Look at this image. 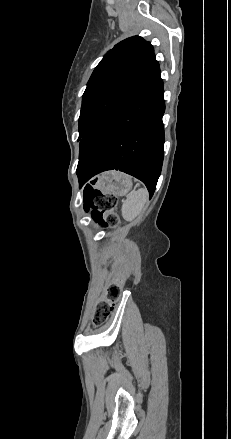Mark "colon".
Here are the masks:
<instances>
[{
  "mask_svg": "<svg viewBox=\"0 0 231 439\" xmlns=\"http://www.w3.org/2000/svg\"><path fill=\"white\" fill-rule=\"evenodd\" d=\"M84 206L90 211L93 220L98 225H115L118 221L114 210L117 206V198L111 194H104L94 189L86 190ZM106 218V224L104 219ZM122 290L118 283L107 286L105 296L96 306L93 322L96 325L103 323L111 314L113 304L121 297Z\"/></svg>",
  "mask_w": 231,
  "mask_h": 439,
  "instance_id": "1",
  "label": "colon"
}]
</instances>
